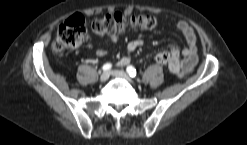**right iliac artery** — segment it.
<instances>
[{"instance_id":"82829eb1","label":"right iliac artery","mask_w":247,"mask_h":145,"mask_svg":"<svg viewBox=\"0 0 247 145\" xmlns=\"http://www.w3.org/2000/svg\"><path fill=\"white\" fill-rule=\"evenodd\" d=\"M111 67H112V65H111L110 63H106V64L103 65L102 69H103L104 71H107V70H110Z\"/></svg>"}]
</instances>
